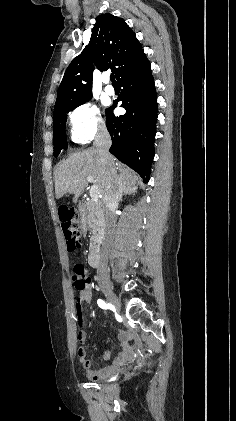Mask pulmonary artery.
Listing matches in <instances>:
<instances>
[{
  "mask_svg": "<svg viewBox=\"0 0 236 421\" xmlns=\"http://www.w3.org/2000/svg\"><path fill=\"white\" fill-rule=\"evenodd\" d=\"M104 91L107 95H114V93H115V90L111 85H106L104 87Z\"/></svg>",
  "mask_w": 236,
  "mask_h": 421,
  "instance_id": "e3ab8cb5",
  "label": "pulmonary artery"
}]
</instances>
